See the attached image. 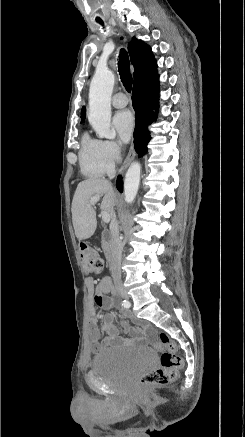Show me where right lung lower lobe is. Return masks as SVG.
Listing matches in <instances>:
<instances>
[{
	"label": "right lung lower lobe",
	"mask_w": 245,
	"mask_h": 437,
	"mask_svg": "<svg viewBox=\"0 0 245 437\" xmlns=\"http://www.w3.org/2000/svg\"><path fill=\"white\" fill-rule=\"evenodd\" d=\"M159 83L157 78L151 82L138 84L133 87L132 105L135 110V130L134 143L138 156H142L147 151V144L150 140V132L147 126L156 119V113L152 109H158ZM117 188L123 191L121 176L117 180Z\"/></svg>",
	"instance_id": "98d812e1"
}]
</instances>
